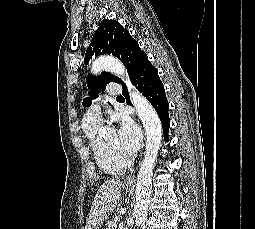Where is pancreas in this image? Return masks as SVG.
Returning a JSON list of instances; mask_svg holds the SVG:
<instances>
[{
	"label": "pancreas",
	"instance_id": "pancreas-1",
	"mask_svg": "<svg viewBox=\"0 0 255 229\" xmlns=\"http://www.w3.org/2000/svg\"><path fill=\"white\" fill-rule=\"evenodd\" d=\"M117 222L115 220H112L108 223V227L106 229H114V225H116Z\"/></svg>",
	"mask_w": 255,
	"mask_h": 229
}]
</instances>
